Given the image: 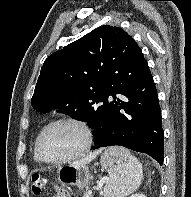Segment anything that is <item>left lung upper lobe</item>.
I'll list each match as a JSON object with an SVG mask.
<instances>
[{
  "mask_svg": "<svg viewBox=\"0 0 191 197\" xmlns=\"http://www.w3.org/2000/svg\"><path fill=\"white\" fill-rule=\"evenodd\" d=\"M148 68L140 47L123 29L100 26L50 55L44 62L31 105L39 112L59 109L89 121L116 89L120 77Z\"/></svg>",
  "mask_w": 191,
  "mask_h": 197,
  "instance_id": "left-lung-upper-lobe-1",
  "label": "left lung upper lobe"
}]
</instances>
